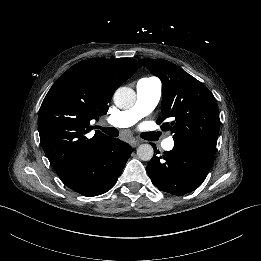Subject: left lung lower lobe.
<instances>
[{
  "instance_id": "0a47b994",
  "label": "left lung lower lobe",
  "mask_w": 261,
  "mask_h": 261,
  "mask_svg": "<svg viewBox=\"0 0 261 261\" xmlns=\"http://www.w3.org/2000/svg\"><path fill=\"white\" fill-rule=\"evenodd\" d=\"M215 152L216 147L200 141L174 142L171 151L151 159L147 172L160 190L184 195L194 191L205 180L213 165Z\"/></svg>"
}]
</instances>
